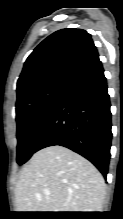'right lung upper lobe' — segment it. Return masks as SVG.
I'll return each mask as SVG.
<instances>
[{"label": "right lung upper lobe", "instance_id": "right-lung-upper-lobe-1", "mask_svg": "<svg viewBox=\"0 0 123 219\" xmlns=\"http://www.w3.org/2000/svg\"><path fill=\"white\" fill-rule=\"evenodd\" d=\"M99 60L91 35L83 29L66 28L43 40L27 58L17 82V99L53 82H68Z\"/></svg>", "mask_w": 123, "mask_h": 219}]
</instances>
